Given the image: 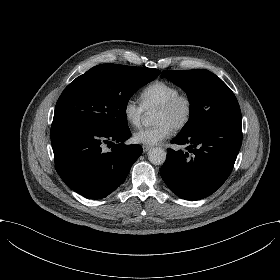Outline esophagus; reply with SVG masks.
Returning <instances> with one entry per match:
<instances>
[{
    "label": "esophagus",
    "mask_w": 280,
    "mask_h": 280,
    "mask_svg": "<svg viewBox=\"0 0 280 280\" xmlns=\"http://www.w3.org/2000/svg\"><path fill=\"white\" fill-rule=\"evenodd\" d=\"M151 149L149 145H143V152H148Z\"/></svg>",
    "instance_id": "1"
}]
</instances>
